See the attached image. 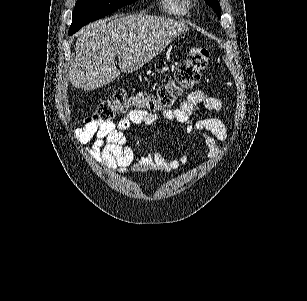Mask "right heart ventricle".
<instances>
[{
    "mask_svg": "<svg viewBox=\"0 0 307 301\" xmlns=\"http://www.w3.org/2000/svg\"><path fill=\"white\" fill-rule=\"evenodd\" d=\"M164 5H160V12H163L164 17H181L179 5H174L179 0H162Z\"/></svg>",
    "mask_w": 307,
    "mask_h": 301,
    "instance_id": "e07e8e85",
    "label": "right heart ventricle"
}]
</instances>
